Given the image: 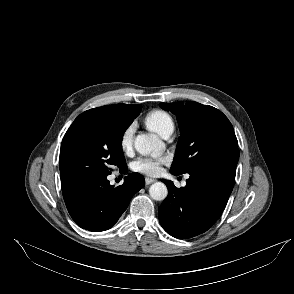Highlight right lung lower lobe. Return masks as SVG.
Instances as JSON below:
<instances>
[{
    "mask_svg": "<svg viewBox=\"0 0 294 294\" xmlns=\"http://www.w3.org/2000/svg\"><path fill=\"white\" fill-rule=\"evenodd\" d=\"M145 185L144 177L131 173L114 188L107 176L97 175L61 181L66 207L75 223L89 231L111 228L126 210L133 195Z\"/></svg>",
    "mask_w": 294,
    "mask_h": 294,
    "instance_id": "obj_1",
    "label": "right lung lower lobe"
}]
</instances>
